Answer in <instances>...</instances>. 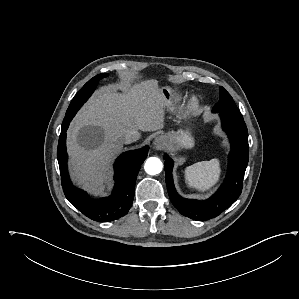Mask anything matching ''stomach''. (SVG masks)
<instances>
[{
  "label": "stomach",
  "instance_id": "0dacf381",
  "mask_svg": "<svg viewBox=\"0 0 299 299\" xmlns=\"http://www.w3.org/2000/svg\"><path fill=\"white\" fill-rule=\"evenodd\" d=\"M160 89L167 102V107L171 106L174 91L170 87H162ZM164 137L166 138V147L170 151L189 149L194 146V139L189 131L170 132L164 135Z\"/></svg>",
  "mask_w": 299,
  "mask_h": 299
}]
</instances>
